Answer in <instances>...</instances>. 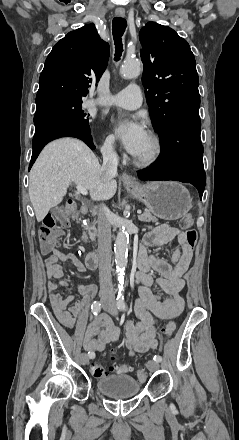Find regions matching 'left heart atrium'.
<instances>
[{
	"label": "left heart atrium",
	"instance_id": "39dd6f15",
	"mask_svg": "<svg viewBox=\"0 0 239 440\" xmlns=\"http://www.w3.org/2000/svg\"><path fill=\"white\" fill-rule=\"evenodd\" d=\"M110 126L114 135L123 143L125 148L131 154L137 155L148 136L141 116H118L110 121Z\"/></svg>",
	"mask_w": 239,
	"mask_h": 440
}]
</instances>
